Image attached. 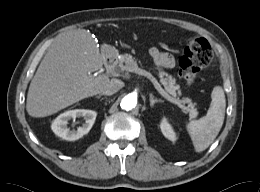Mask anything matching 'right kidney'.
Wrapping results in <instances>:
<instances>
[{"instance_id": "ca27d5eb", "label": "right kidney", "mask_w": 260, "mask_h": 192, "mask_svg": "<svg viewBox=\"0 0 260 192\" xmlns=\"http://www.w3.org/2000/svg\"><path fill=\"white\" fill-rule=\"evenodd\" d=\"M96 116L97 113L92 110H69L60 114L53 121L52 130L57 136L65 140H77L90 131L95 122ZM76 118H83L85 120V123H83L81 127L77 128V130H70L67 126L68 121L71 119L75 120Z\"/></svg>"}]
</instances>
